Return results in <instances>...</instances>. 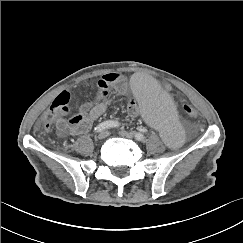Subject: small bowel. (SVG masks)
I'll list each match as a JSON object with an SVG mask.
<instances>
[{"mask_svg":"<svg viewBox=\"0 0 243 243\" xmlns=\"http://www.w3.org/2000/svg\"><path fill=\"white\" fill-rule=\"evenodd\" d=\"M129 87V79L120 74H105L97 81V93L90 101L85 102L76 115L69 119L61 117L68 113L64 112L56 118V128L62 136H76L87 133L92 124L105 113L108 106L110 89L114 88L120 93H126ZM140 113L139 106L131 102L128 107V114L136 117Z\"/></svg>","mask_w":243,"mask_h":243,"instance_id":"obj_1","label":"small bowel"}]
</instances>
